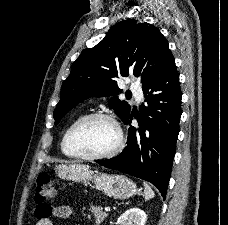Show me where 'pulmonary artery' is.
Here are the masks:
<instances>
[{"label":"pulmonary artery","mask_w":228,"mask_h":225,"mask_svg":"<svg viewBox=\"0 0 228 225\" xmlns=\"http://www.w3.org/2000/svg\"><path fill=\"white\" fill-rule=\"evenodd\" d=\"M130 89L133 91L136 102L139 103L143 99V91L140 85H131Z\"/></svg>","instance_id":"pulmonary-artery-1"}]
</instances>
